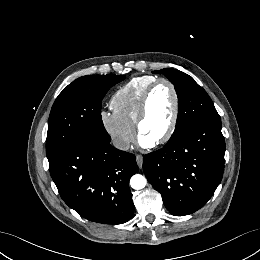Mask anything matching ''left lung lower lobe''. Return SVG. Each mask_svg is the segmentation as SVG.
Returning <instances> with one entry per match:
<instances>
[{"label":"left lung lower lobe","instance_id":"obj_1","mask_svg":"<svg viewBox=\"0 0 260 260\" xmlns=\"http://www.w3.org/2000/svg\"><path fill=\"white\" fill-rule=\"evenodd\" d=\"M225 140L219 119L193 124L144 156L145 175L175 216L191 214L211 198L224 171Z\"/></svg>","mask_w":260,"mask_h":260}]
</instances>
